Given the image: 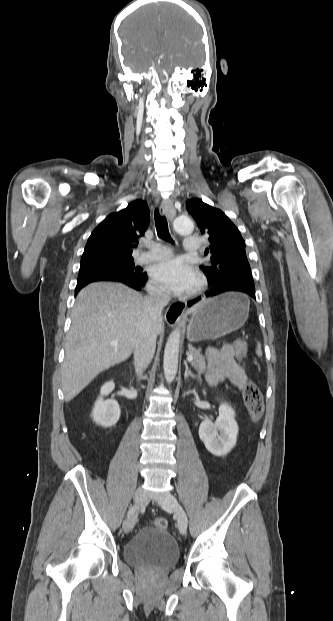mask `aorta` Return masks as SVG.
<instances>
[{
  "label": "aorta",
  "mask_w": 333,
  "mask_h": 621,
  "mask_svg": "<svg viewBox=\"0 0 333 621\" xmlns=\"http://www.w3.org/2000/svg\"><path fill=\"white\" fill-rule=\"evenodd\" d=\"M175 231L181 235H189L193 232L194 224L187 217H177L173 222ZM180 345V332L174 330L166 343L164 350L163 369L167 383H171L178 370V356Z\"/></svg>",
  "instance_id": "obj_1"
}]
</instances>
